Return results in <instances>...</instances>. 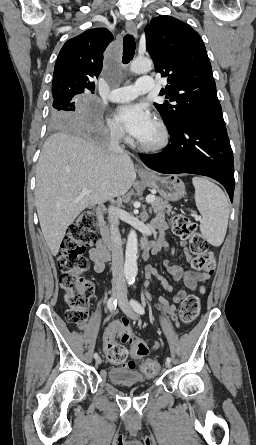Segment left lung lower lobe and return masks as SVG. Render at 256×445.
<instances>
[{"label":"left lung lower lobe","instance_id":"obj_1","mask_svg":"<svg viewBox=\"0 0 256 445\" xmlns=\"http://www.w3.org/2000/svg\"><path fill=\"white\" fill-rule=\"evenodd\" d=\"M168 131L171 144L161 153L139 154L143 163L160 173L211 177L225 187L233 201V152L223 117L188 115Z\"/></svg>","mask_w":256,"mask_h":445}]
</instances>
